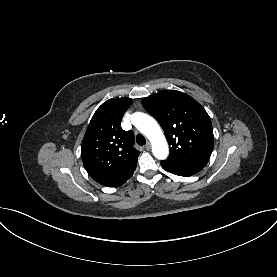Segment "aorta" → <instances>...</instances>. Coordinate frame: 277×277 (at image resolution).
<instances>
[{
	"label": "aorta",
	"instance_id": "1",
	"mask_svg": "<svg viewBox=\"0 0 277 277\" xmlns=\"http://www.w3.org/2000/svg\"><path fill=\"white\" fill-rule=\"evenodd\" d=\"M131 120L151 141L153 155L159 160L166 159L169 153L168 144L158 123L151 116L141 112L134 113Z\"/></svg>",
	"mask_w": 277,
	"mask_h": 277
}]
</instances>
